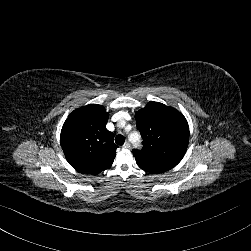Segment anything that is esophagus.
Segmentation results:
<instances>
[{
	"label": "esophagus",
	"mask_w": 251,
	"mask_h": 251,
	"mask_svg": "<svg viewBox=\"0 0 251 251\" xmlns=\"http://www.w3.org/2000/svg\"><path fill=\"white\" fill-rule=\"evenodd\" d=\"M123 147H124V148H127V149H130V148H131V144H130L128 141H126V142L124 143Z\"/></svg>",
	"instance_id": "1"
}]
</instances>
